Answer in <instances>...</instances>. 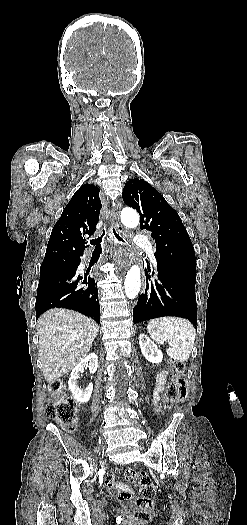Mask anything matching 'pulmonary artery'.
Returning a JSON list of instances; mask_svg holds the SVG:
<instances>
[{
  "label": "pulmonary artery",
  "instance_id": "1",
  "mask_svg": "<svg viewBox=\"0 0 247 525\" xmlns=\"http://www.w3.org/2000/svg\"><path fill=\"white\" fill-rule=\"evenodd\" d=\"M133 242L142 246L143 250L146 252V257L150 260L151 265L156 266L159 263V260L156 254V240L150 236H137L133 239Z\"/></svg>",
  "mask_w": 247,
  "mask_h": 525
}]
</instances>
